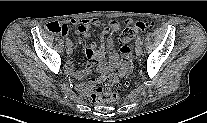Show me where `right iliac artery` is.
Wrapping results in <instances>:
<instances>
[{
	"label": "right iliac artery",
	"mask_w": 207,
	"mask_h": 123,
	"mask_svg": "<svg viewBox=\"0 0 207 123\" xmlns=\"http://www.w3.org/2000/svg\"><path fill=\"white\" fill-rule=\"evenodd\" d=\"M71 44H72L71 41L69 39H67L66 45H71Z\"/></svg>",
	"instance_id": "right-iliac-artery-1"
}]
</instances>
